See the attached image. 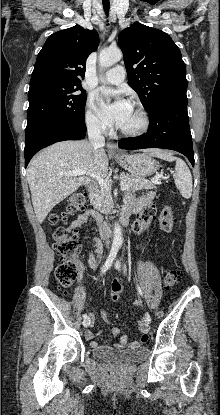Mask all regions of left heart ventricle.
<instances>
[{
	"label": "left heart ventricle",
	"instance_id": "1",
	"mask_svg": "<svg viewBox=\"0 0 220 415\" xmlns=\"http://www.w3.org/2000/svg\"><path fill=\"white\" fill-rule=\"evenodd\" d=\"M140 125V117L136 110L131 106L130 112L123 123L120 125L124 129H135Z\"/></svg>",
	"mask_w": 220,
	"mask_h": 415
}]
</instances>
